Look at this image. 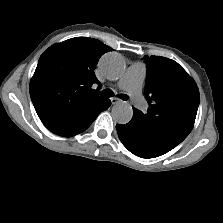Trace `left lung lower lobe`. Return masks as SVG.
I'll return each mask as SVG.
<instances>
[{
	"mask_svg": "<svg viewBox=\"0 0 223 223\" xmlns=\"http://www.w3.org/2000/svg\"><path fill=\"white\" fill-rule=\"evenodd\" d=\"M116 129L123 145L131 153L142 158H155L176 147L147 135L132 119L125 125H116Z\"/></svg>",
	"mask_w": 223,
	"mask_h": 223,
	"instance_id": "left-lung-lower-lobe-1",
	"label": "left lung lower lobe"
}]
</instances>
